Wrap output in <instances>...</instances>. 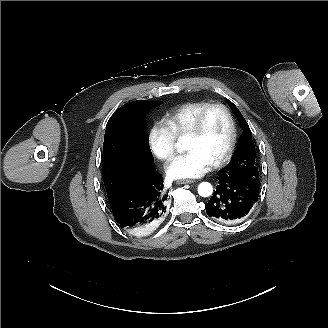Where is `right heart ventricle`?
<instances>
[{
	"mask_svg": "<svg viewBox=\"0 0 328 328\" xmlns=\"http://www.w3.org/2000/svg\"><path fill=\"white\" fill-rule=\"evenodd\" d=\"M209 105L206 101H194L183 104L165 113L161 122L167 127L175 139L185 137L197 115Z\"/></svg>",
	"mask_w": 328,
	"mask_h": 328,
	"instance_id": "1",
	"label": "right heart ventricle"
}]
</instances>
